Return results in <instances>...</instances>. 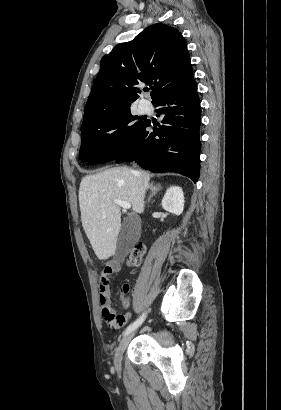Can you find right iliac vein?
<instances>
[{
    "mask_svg": "<svg viewBox=\"0 0 281 410\" xmlns=\"http://www.w3.org/2000/svg\"><path fill=\"white\" fill-rule=\"evenodd\" d=\"M134 335H135V332H131V333L127 334L122 339V341L120 342V344H119V346L116 350V353H115V356H114V365H115V368L117 369V371L121 370V361H122L123 353H124L125 349L127 348L128 344L130 343V341H131V339Z\"/></svg>",
    "mask_w": 281,
    "mask_h": 410,
    "instance_id": "right-iliac-vein-1",
    "label": "right iliac vein"
}]
</instances>
